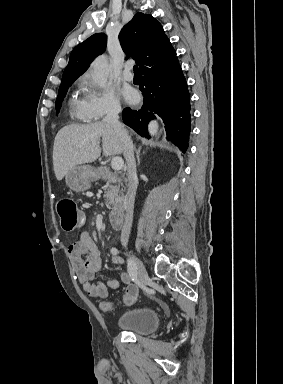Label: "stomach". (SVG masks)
<instances>
[{"label":"stomach","mask_w":283,"mask_h":384,"mask_svg":"<svg viewBox=\"0 0 283 384\" xmlns=\"http://www.w3.org/2000/svg\"><path fill=\"white\" fill-rule=\"evenodd\" d=\"M96 178L93 166H75L65 176V182L73 192H85L89 190L91 182Z\"/></svg>","instance_id":"1"}]
</instances>
